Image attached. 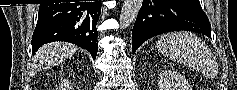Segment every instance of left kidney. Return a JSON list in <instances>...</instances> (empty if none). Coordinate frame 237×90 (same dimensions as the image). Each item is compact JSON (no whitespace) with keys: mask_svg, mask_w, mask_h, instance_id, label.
I'll return each mask as SVG.
<instances>
[{"mask_svg":"<svg viewBox=\"0 0 237 90\" xmlns=\"http://www.w3.org/2000/svg\"><path fill=\"white\" fill-rule=\"evenodd\" d=\"M158 76L159 90H192L184 76L174 70H163Z\"/></svg>","mask_w":237,"mask_h":90,"instance_id":"left-kidney-1","label":"left kidney"}]
</instances>
